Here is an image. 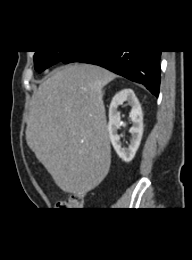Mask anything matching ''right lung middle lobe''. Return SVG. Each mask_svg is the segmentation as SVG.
<instances>
[{"instance_id": "right-lung-middle-lobe-1", "label": "right lung middle lobe", "mask_w": 192, "mask_h": 260, "mask_svg": "<svg viewBox=\"0 0 192 260\" xmlns=\"http://www.w3.org/2000/svg\"><path fill=\"white\" fill-rule=\"evenodd\" d=\"M69 51H36L34 55V67L38 72H42L46 68L62 61Z\"/></svg>"}]
</instances>
